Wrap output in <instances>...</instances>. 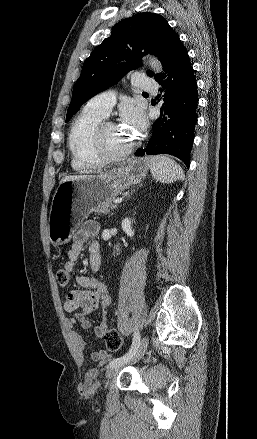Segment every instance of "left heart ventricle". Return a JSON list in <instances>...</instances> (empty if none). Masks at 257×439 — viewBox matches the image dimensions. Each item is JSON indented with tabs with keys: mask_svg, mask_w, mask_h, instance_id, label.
<instances>
[{
	"mask_svg": "<svg viewBox=\"0 0 257 439\" xmlns=\"http://www.w3.org/2000/svg\"><path fill=\"white\" fill-rule=\"evenodd\" d=\"M106 148L111 153H116L129 146L130 137L118 125H107L104 129Z\"/></svg>",
	"mask_w": 257,
	"mask_h": 439,
	"instance_id": "obj_1",
	"label": "left heart ventricle"
}]
</instances>
